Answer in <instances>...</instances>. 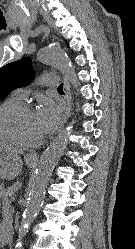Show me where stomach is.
Returning a JSON list of instances; mask_svg holds the SVG:
<instances>
[{"instance_id": "stomach-1", "label": "stomach", "mask_w": 135, "mask_h": 249, "mask_svg": "<svg viewBox=\"0 0 135 249\" xmlns=\"http://www.w3.org/2000/svg\"><path fill=\"white\" fill-rule=\"evenodd\" d=\"M26 164L32 166L34 162L26 159ZM22 161L17 154L6 149H0V179H12L21 172Z\"/></svg>"}]
</instances>
